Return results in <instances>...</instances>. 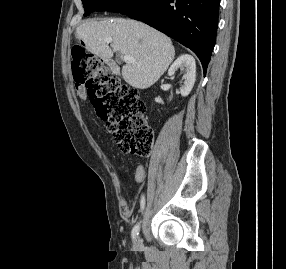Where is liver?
<instances>
[{
	"instance_id": "obj_1",
	"label": "liver",
	"mask_w": 286,
	"mask_h": 269,
	"mask_svg": "<svg viewBox=\"0 0 286 269\" xmlns=\"http://www.w3.org/2000/svg\"><path fill=\"white\" fill-rule=\"evenodd\" d=\"M87 49L109 62L114 52L134 57L122 68L124 80L138 89L152 86L172 63L175 49L171 39L152 27L133 20H89L77 27ZM112 38L111 48L106 39Z\"/></svg>"
}]
</instances>
